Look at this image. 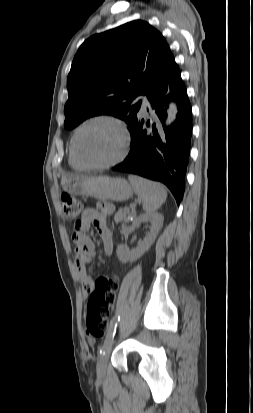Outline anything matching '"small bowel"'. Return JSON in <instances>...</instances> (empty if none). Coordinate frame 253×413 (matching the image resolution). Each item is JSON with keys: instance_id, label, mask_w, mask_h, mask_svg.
I'll return each instance as SVG.
<instances>
[{"instance_id": "small-bowel-1", "label": "small bowel", "mask_w": 253, "mask_h": 413, "mask_svg": "<svg viewBox=\"0 0 253 413\" xmlns=\"http://www.w3.org/2000/svg\"><path fill=\"white\" fill-rule=\"evenodd\" d=\"M112 211L113 206L110 203L101 202L96 208L85 209L81 218L75 223L72 239L75 244V262L84 296H88L94 287V281L88 274L87 268L94 260L95 246L87 232L93 225L101 238L104 253L111 255L114 242L108 228V216Z\"/></svg>"}]
</instances>
